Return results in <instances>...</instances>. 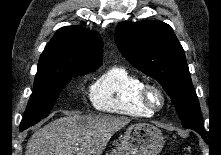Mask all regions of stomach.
Listing matches in <instances>:
<instances>
[{
    "label": "stomach",
    "instance_id": "0dacf381",
    "mask_svg": "<svg viewBox=\"0 0 221 155\" xmlns=\"http://www.w3.org/2000/svg\"><path fill=\"white\" fill-rule=\"evenodd\" d=\"M164 145L162 132L150 124H135L127 129L120 144L106 155H158Z\"/></svg>",
    "mask_w": 221,
    "mask_h": 155
}]
</instances>
